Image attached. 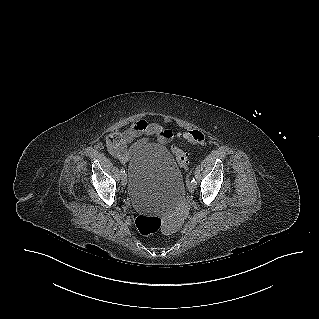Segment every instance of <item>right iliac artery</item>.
Segmentation results:
<instances>
[{
  "instance_id": "1",
  "label": "right iliac artery",
  "mask_w": 319,
  "mask_h": 319,
  "mask_svg": "<svg viewBox=\"0 0 319 319\" xmlns=\"http://www.w3.org/2000/svg\"><path fill=\"white\" fill-rule=\"evenodd\" d=\"M125 173V170H124V168L122 167L121 168V175H123Z\"/></svg>"
}]
</instances>
